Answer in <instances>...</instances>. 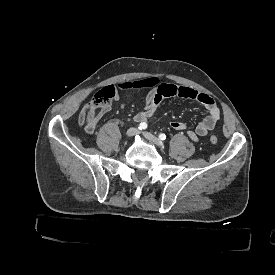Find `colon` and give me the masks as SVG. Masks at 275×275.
Here are the masks:
<instances>
[{
    "mask_svg": "<svg viewBox=\"0 0 275 275\" xmlns=\"http://www.w3.org/2000/svg\"><path fill=\"white\" fill-rule=\"evenodd\" d=\"M109 106V100L108 99H95L94 103L85 108L79 116V123L81 126L85 127L86 130L90 131L91 127L87 126L86 119H89L91 121L99 119L107 107ZM209 141L211 144H216L218 142V137L216 135H212L209 138Z\"/></svg>",
    "mask_w": 275,
    "mask_h": 275,
    "instance_id": "5ec220e1",
    "label": "colon"
}]
</instances>
